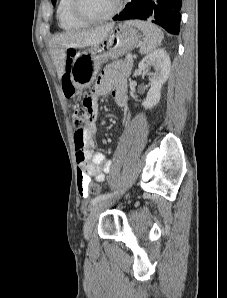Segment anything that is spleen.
Returning <instances> with one entry per match:
<instances>
[{"mask_svg": "<svg viewBox=\"0 0 227 298\" xmlns=\"http://www.w3.org/2000/svg\"><path fill=\"white\" fill-rule=\"evenodd\" d=\"M128 23L137 27L144 35V39L140 47L141 54H148L154 51L164 38V34L161 29L150 22L132 20Z\"/></svg>", "mask_w": 227, "mask_h": 298, "instance_id": "3e777b00", "label": "spleen"}]
</instances>
